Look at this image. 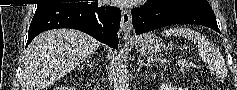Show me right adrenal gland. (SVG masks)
I'll return each instance as SVG.
<instances>
[{
  "mask_svg": "<svg viewBox=\"0 0 237 90\" xmlns=\"http://www.w3.org/2000/svg\"><path fill=\"white\" fill-rule=\"evenodd\" d=\"M90 62H92V58H88L86 64H82L81 68H86V66H90Z\"/></svg>",
  "mask_w": 237,
  "mask_h": 90,
  "instance_id": "1",
  "label": "right adrenal gland"
}]
</instances>
